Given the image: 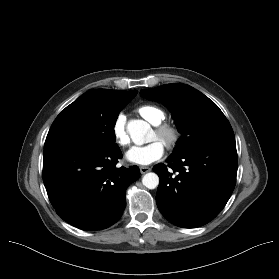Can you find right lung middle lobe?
<instances>
[{"instance_id": "dd1d6c3e", "label": "right lung middle lobe", "mask_w": 279, "mask_h": 279, "mask_svg": "<svg viewBox=\"0 0 279 279\" xmlns=\"http://www.w3.org/2000/svg\"><path fill=\"white\" fill-rule=\"evenodd\" d=\"M130 101H101L83 94L57 116L48 132L44 150L63 145L100 151L117 147L114 126L119 112Z\"/></svg>"}]
</instances>
